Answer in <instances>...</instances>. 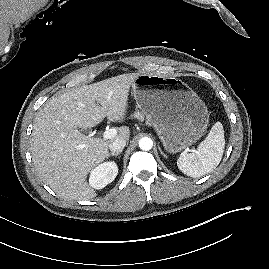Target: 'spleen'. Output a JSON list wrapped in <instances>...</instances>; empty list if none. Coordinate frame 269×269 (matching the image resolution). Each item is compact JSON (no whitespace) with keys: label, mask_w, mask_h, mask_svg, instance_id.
Segmentation results:
<instances>
[{"label":"spleen","mask_w":269,"mask_h":269,"mask_svg":"<svg viewBox=\"0 0 269 269\" xmlns=\"http://www.w3.org/2000/svg\"><path fill=\"white\" fill-rule=\"evenodd\" d=\"M224 148L223 125L221 122H216L195 152L182 154L178 158L177 166L187 176L201 177L212 172L219 165Z\"/></svg>","instance_id":"1"}]
</instances>
